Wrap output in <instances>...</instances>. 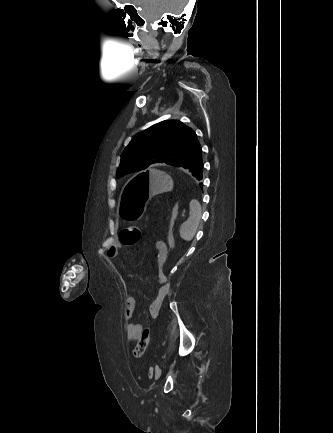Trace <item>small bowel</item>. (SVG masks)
<instances>
[{
	"mask_svg": "<svg viewBox=\"0 0 333 433\" xmlns=\"http://www.w3.org/2000/svg\"><path fill=\"white\" fill-rule=\"evenodd\" d=\"M154 247L157 253L156 257H157V271H158V290L155 298L151 301L148 307V313L151 317H156L159 314L162 303L170 292V286L166 282L162 274V269L168 256V246L164 241L158 240L154 243ZM118 251H119L118 245L113 244L107 249V256L109 258H114L117 256ZM136 308H137V303L135 298L132 296H127L125 299L124 317L125 320L127 321L126 324L127 337L131 341L138 340L142 332L146 329L144 324L131 322V320L135 316Z\"/></svg>",
	"mask_w": 333,
	"mask_h": 433,
	"instance_id": "small-bowel-1",
	"label": "small bowel"
}]
</instances>
